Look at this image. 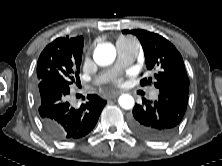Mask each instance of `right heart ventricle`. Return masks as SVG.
<instances>
[{"label": "right heart ventricle", "instance_id": "1", "mask_svg": "<svg viewBox=\"0 0 222 166\" xmlns=\"http://www.w3.org/2000/svg\"><path fill=\"white\" fill-rule=\"evenodd\" d=\"M120 41H133V39H132V38H128V37H121V38L118 40V42H120Z\"/></svg>", "mask_w": 222, "mask_h": 166}]
</instances>
